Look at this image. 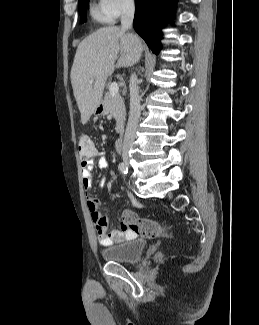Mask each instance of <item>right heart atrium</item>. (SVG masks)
I'll use <instances>...</instances> for the list:
<instances>
[{
    "instance_id": "1",
    "label": "right heart atrium",
    "mask_w": 259,
    "mask_h": 325,
    "mask_svg": "<svg viewBox=\"0 0 259 325\" xmlns=\"http://www.w3.org/2000/svg\"><path fill=\"white\" fill-rule=\"evenodd\" d=\"M133 6L134 0H99L100 9L109 20L117 19Z\"/></svg>"
}]
</instances>
